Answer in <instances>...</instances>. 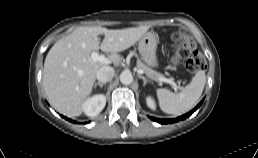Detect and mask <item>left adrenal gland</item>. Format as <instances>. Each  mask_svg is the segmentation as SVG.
I'll return each mask as SVG.
<instances>
[{
  "instance_id": "a2214340",
  "label": "left adrenal gland",
  "mask_w": 258,
  "mask_h": 158,
  "mask_svg": "<svg viewBox=\"0 0 258 158\" xmlns=\"http://www.w3.org/2000/svg\"><path fill=\"white\" fill-rule=\"evenodd\" d=\"M138 78H140V79L143 80V86H145L147 82H150V81H148V80H147L144 76H142V75H138Z\"/></svg>"
}]
</instances>
